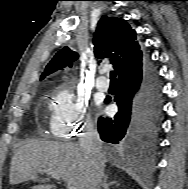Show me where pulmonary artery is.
I'll use <instances>...</instances> for the list:
<instances>
[{
  "label": "pulmonary artery",
  "instance_id": "obj_1",
  "mask_svg": "<svg viewBox=\"0 0 188 189\" xmlns=\"http://www.w3.org/2000/svg\"><path fill=\"white\" fill-rule=\"evenodd\" d=\"M96 88L100 91H107L109 89V81L101 76L96 80Z\"/></svg>",
  "mask_w": 188,
  "mask_h": 189
}]
</instances>
